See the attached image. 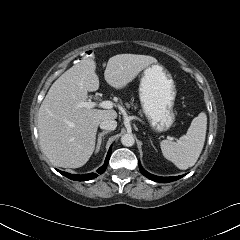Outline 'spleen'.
Returning a JSON list of instances; mask_svg holds the SVG:
<instances>
[{
	"label": "spleen",
	"instance_id": "3e777b00",
	"mask_svg": "<svg viewBox=\"0 0 240 240\" xmlns=\"http://www.w3.org/2000/svg\"><path fill=\"white\" fill-rule=\"evenodd\" d=\"M206 129L207 116L201 112L192 120L186 135L181 136L176 142L170 140L160 142L163 156L181 170L194 166L204 146Z\"/></svg>",
	"mask_w": 240,
	"mask_h": 240
}]
</instances>
